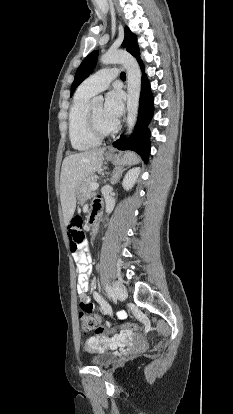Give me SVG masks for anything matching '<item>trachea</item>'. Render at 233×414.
Listing matches in <instances>:
<instances>
[{
    "instance_id": "trachea-1",
    "label": "trachea",
    "mask_w": 233,
    "mask_h": 414,
    "mask_svg": "<svg viewBox=\"0 0 233 414\" xmlns=\"http://www.w3.org/2000/svg\"><path fill=\"white\" fill-rule=\"evenodd\" d=\"M120 78H121L122 80H125V79H126V74H125V72H121V74H120Z\"/></svg>"
}]
</instances>
